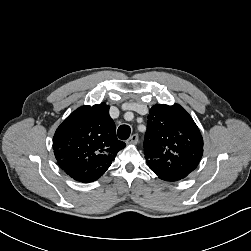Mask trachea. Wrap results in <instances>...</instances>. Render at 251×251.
Returning a JSON list of instances; mask_svg holds the SVG:
<instances>
[{"instance_id":"3493384b","label":"trachea","mask_w":251,"mask_h":251,"mask_svg":"<svg viewBox=\"0 0 251 251\" xmlns=\"http://www.w3.org/2000/svg\"><path fill=\"white\" fill-rule=\"evenodd\" d=\"M131 133V128L128 125H121L117 130V135L119 139L126 140L129 138Z\"/></svg>"}]
</instances>
